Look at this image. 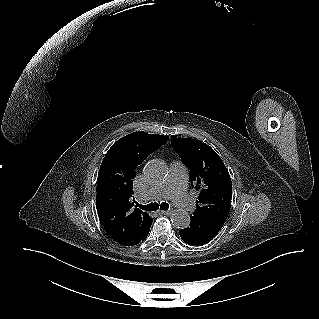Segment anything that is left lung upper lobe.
<instances>
[{"instance_id": "left-lung-upper-lobe-1", "label": "left lung upper lobe", "mask_w": 319, "mask_h": 319, "mask_svg": "<svg viewBox=\"0 0 319 319\" xmlns=\"http://www.w3.org/2000/svg\"><path fill=\"white\" fill-rule=\"evenodd\" d=\"M171 143L190 169L193 187L200 192L193 215L227 218L231 208L232 182L222 159L199 140L171 136Z\"/></svg>"}]
</instances>
